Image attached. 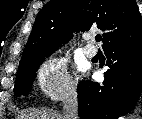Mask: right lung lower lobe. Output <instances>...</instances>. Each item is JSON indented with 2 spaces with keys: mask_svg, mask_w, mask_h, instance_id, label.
<instances>
[{
  "mask_svg": "<svg viewBox=\"0 0 142 119\" xmlns=\"http://www.w3.org/2000/svg\"><path fill=\"white\" fill-rule=\"evenodd\" d=\"M102 84L82 80L78 85L81 119H117L127 113L142 90V32L111 43Z\"/></svg>",
  "mask_w": 142,
  "mask_h": 119,
  "instance_id": "obj_1",
  "label": "right lung lower lobe"
}]
</instances>
